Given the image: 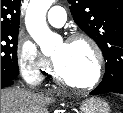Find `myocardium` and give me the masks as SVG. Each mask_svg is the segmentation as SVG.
<instances>
[{"mask_svg":"<svg viewBox=\"0 0 123 113\" xmlns=\"http://www.w3.org/2000/svg\"><path fill=\"white\" fill-rule=\"evenodd\" d=\"M78 41H83L87 43L94 53L95 73L93 78L86 83H78L72 81L62 74L54 59H53V76L56 79V81L69 87H73L78 90H90L95 86H97L102 79L104 68V54L98 43L91 36L85 33H75L71 35L66 39L65 44H71Z\"/></svg>","mask_w":123,"mask_h":113,"instance_id":"myocardium-1","label":"myocardium"}]
</instances>
